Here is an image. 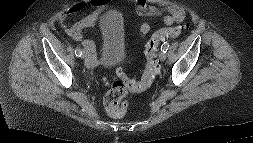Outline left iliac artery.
Wrapping results in <instances>:
<instances>
[{
	"label": "left iliac artery",
	"mask_w": 253,
	"mask_h": 143,
	"mask_svg": "<svg viewBox=\"0 0 253 143\" xmlns=\"http://www.w3.org/2000/svg\"><path fill=\"white\" fill-rule=\"evenodd\" d=\"M168 48H169V43L164 42L163 45L161 46V51L166 53Z\"/></svg>",
	"instance_id": "1"
}]
</instances>
